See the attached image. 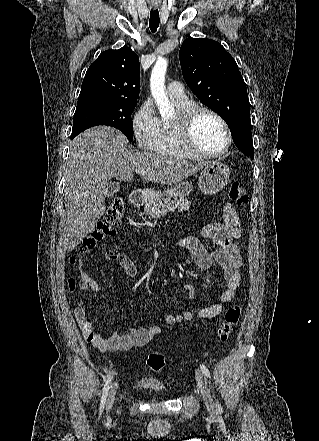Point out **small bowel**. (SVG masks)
<instances>
[{
	"label": "small bowel",
	"instance_id": "small-bowel-1",
	"mask_svg": "<svg viewBox=\"0 0 319 441\" xmlns=\"http://www.w3.org/2000/svg\"><path fill=\"white\" fill-rule=\"evenodd\" d=\"M223 223H212L205 226L203 236L217 244L218 248L212 252L206 250L202 242L193 236L179 239V247L187 250L195 264L203 271H208L217 263L226 282V289L219 292L213 304L202 307L197 312L183 310L177 315L168 314L164 317L167 326L191 321L196 318L210 319L218 316L223 305L230 302L236 295L240 285L242 258L235 241L240 238L242 228L238 214L231 203L223 208ZM108 260H116L122 270L131 278L137 274V268L129 257L117 250L106 254ZM80 289L89 288L94 294L100 293L98 282L88 273L80 269ZM183 288L191 301L196 298L197 288L193 283H185ZM74 317L78 327L86 340L101 351H128L149 343L155 336L162 333L160 326H150L132 329L127 334L114 332L109 338H103L93 327L82 300L78 301L74 309Z\"/></svg>",
	"mask_w": 319,
	"mask_h": 441
}]
</instances>
